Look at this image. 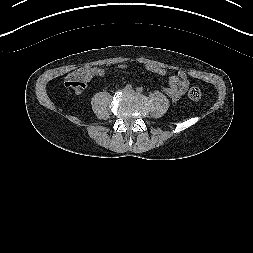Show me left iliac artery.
Here are the masks:
<instances>
[{"label": "left iliac artery", "instance_id": "1", "mask_svg": "<svg viewBox=\"0 0 253 253\" xmlns=\"http://www.w3.org/2000/svg\"><path fill=\"white\" fill-rule=\"evenodd\" d=\"M136 91H137L138 93H141V92H143V88H142V87H137V88H136Z\"/></svg>", "mask_w": 253, "mask_h": 253}]
</instances>
